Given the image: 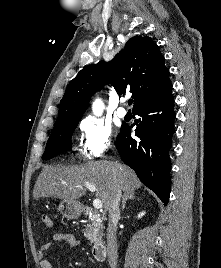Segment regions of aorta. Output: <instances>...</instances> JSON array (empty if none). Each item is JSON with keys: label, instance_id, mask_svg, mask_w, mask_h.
Listing matches in <instances>:
<instances>
[{"label": "aorta", "instance_id": "aorta-1", "mask_svg": "<svg viewBox=\"0 0 221 268\" xmlns=\"http://www.w3.org/2000/svg\"><path fill=\"white\" fill-rule=\"evenodd\" d=\"M104 104L101 99H96L92 105L94 115L100 116L103 113Z\"/></svg>", "mask_w": 221, "mask_h": 268}]
</instances>
